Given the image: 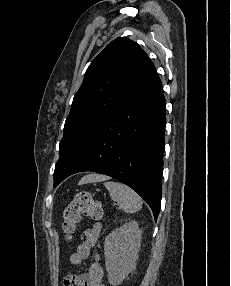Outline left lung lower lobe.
<instances>
[{
	"instance_id": "1",
	"label": "left lung lower lobe",
	"mask_w": 231,
	"mask_h": 286,
	"mask_svg": "<svg viewBox=\"0 0 231 286\" xmlns=\"http://www.w3.org/2000/svg\"><path fill=\"white\" fill-rule=\"evenodd\" d=\"M165 124V98L155 69L93 129L59 182L83 171L108 175L135 190L156 220L162 193Z\"/></svg>"
}]
</instances>
